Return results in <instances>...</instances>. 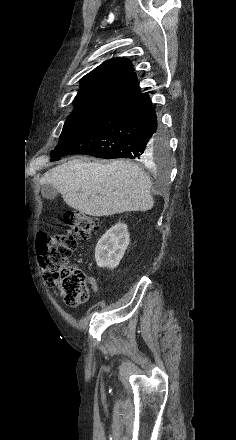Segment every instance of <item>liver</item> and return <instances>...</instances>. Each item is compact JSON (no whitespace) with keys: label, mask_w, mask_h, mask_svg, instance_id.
I'll return each mask as SVG.
<instances>
[{"label":"liver","mask_w":236,"mask_h":440,"mask_svg":"<svg viewBox=\"0 0 236 440\" xmlns=\"http://www.w3.org/2000/svg\"><path fill=\"white\" fill-rule=\"evenodd\" d=\"M40 184L53 185L69 207L95 217L144 212L154 205L149 177L128 160L73 159L45 172Z\"/></svg>","instance_id":"1"}]
</instances>
